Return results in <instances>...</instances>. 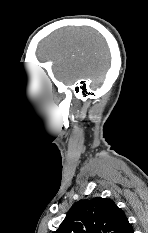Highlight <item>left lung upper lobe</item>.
<instances>
[{
  "instance_id": "left-lung-upper-lobe-1",
  "label": "left lung upper lobe",
  "mask_w": 148,
  "mask_h": 233,
  "mask_svg": "<svg viewBox=\"0 0 148 233\" xmlns=\"http://www.w3.org/2000/svg\"><path fill=\"white\" fill-rule=\"evenodd\" d=\"M131 224L111 199L76 202L54 233H126Z\"/></svg>"
}]
</instances>
